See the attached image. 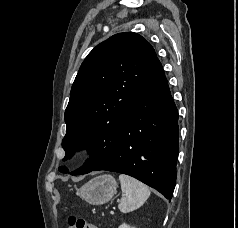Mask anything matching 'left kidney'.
<instances>
[{
    "instance_id": "1",
    "label": "left kidney",
    "mask_w": 238,
    "mask_h": 228,
    "mask_svg": "<svg viewBox=\"0 0 238 228\" xmlns=\"http://www.w3.org/2000/svg\"><path fill=\"white\" fill-rule=\"evenodd\" d=\"M118 228H136V227H131L125 223H123L122 225H120Z\"/></svg>"
}]
</instances>
